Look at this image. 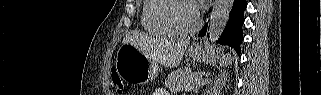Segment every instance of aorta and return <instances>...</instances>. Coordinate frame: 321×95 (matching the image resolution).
I'll return each instance as SVG.
<instances>
[{"label": "aorta", "instance_id": "762f6f07", "mask_svg": "<svg viewBox=\"0 0 321 95\" xmlns=\"http://www.w3.org/2000/svg\"><path fill=\"white\" fill-rule=\"evenodd\" d=\"M234 0H215L210 16L208 33L212 42L223 33L229 19Z\"/></svg>", "mask_w": 321, "mask_h": 95}]
</instances>
